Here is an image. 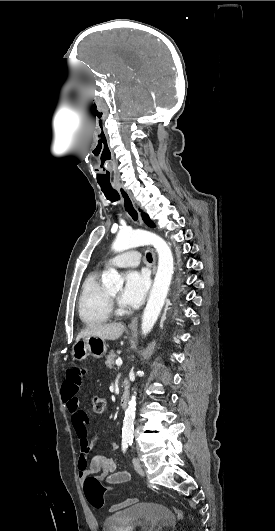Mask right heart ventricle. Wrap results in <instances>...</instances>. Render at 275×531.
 <instances>
[{
	"mask_svg": "<svg viewBox=\"0 0 275 531\" xmlns=\"http://www.w3.org/2000/svg\"><path fill=\"white\" fill-rule=\"evenodd\" d=\"M78 309L82 321L87 325H101L110 319L111 300L100 283L98 273L88 274L82 282Z\"/></svg>",
	"mask_w": 275,
	"mask_h": 531,
	"instance_id": "obj_1",
	"label": "right heart ventricle"
}]
</instances>
